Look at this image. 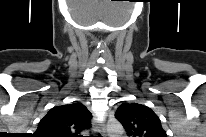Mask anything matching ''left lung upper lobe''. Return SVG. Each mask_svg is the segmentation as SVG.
Instances as JSON below:
<instances>
[{
  "mask_svg": "<svg viewBox=\"0 0 206 137\" xmlns=\"http://www.w3.org/2000/svg\"><path fill=\"white\" fill-rule=\"evenodd\" d=\"M130 137H167L160 119L152 109L137 103H123L116 113Z\"/></svg>",
  "mask_w": 206,
  "mask_h": 137,
  "instance_id": "1",
  "label": "left lung upper lobe"
}]
</instances>
